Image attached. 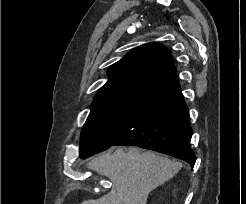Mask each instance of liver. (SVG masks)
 <instances>
[{
	"instance_id": "6515ba94",
	"label": "liver",
	"mask_w": 246,
	"mask_h": 204,
	"mask_svg": "<svg viewBox=\"0 0 246 204\" xmlns=\"http://www.w3.org/2000/svg\"><path fill=\"white\" fill-rule=\"evenodd\" d=\"M181 167L180 162L151 151L117 148L88 163L89 169L111 180V191L81 204H146L149 193L176 175Z\"/></svg>"
}]
</instances>
